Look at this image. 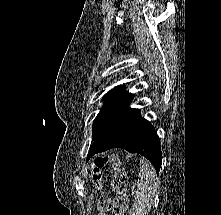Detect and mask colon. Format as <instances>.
<instances>
[{"mask_svg": "<svg viewBox=\"0 0 221 215\" xmlns=\"http://www.w3.org/2000/svg\"><path fill=\"white\" fill-rule=\"evenodd\" d=\"M113 166V177L111 187L116 194V198L111 200L107 196H101L97 202L98 215H106L110 210L113 215H130L128 208V193H127V175L120 167L119 159L116 155L98 156L95 158L91 166L90 178L96 189L101 187V169L107 164Z\"/></svg>", "mask_w": 221, "mask_h": 215, "instance_id": "5ec220e1", "label": "colon"}]
</instances>
